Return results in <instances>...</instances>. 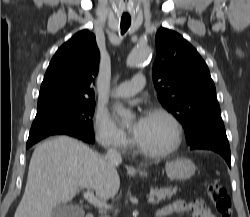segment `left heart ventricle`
Masks as SVG:
<instances>
[{
    "instance_id": "1",
    "label": "left heart ventricle",
    "mask_w": 250,
    "mask_h": 217,
    "mask_svg": "<svg viewBox=\"0 0 250 217\" xmlns=\"http://www.w3.org/2000/svg\"><path fill=\"white\" fill-rule=\"evenodd\" d=\"M172 137L169 122L161 116L149 114L137 143L148 150L157 151L169 146Z\"/></svg>"
}]
</instances>
